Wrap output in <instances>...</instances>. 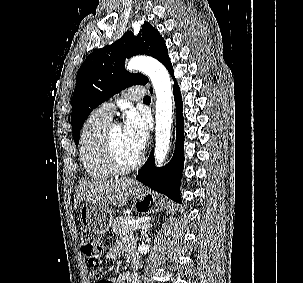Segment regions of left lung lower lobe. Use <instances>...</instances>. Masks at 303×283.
<instances>
[{"label":"left lung lower lobe","instance_id":"left-lung-lower-lobe-1","mask_svg":"<svg viewBox=\"0 0 303 283\" xmlns=\"http://www.w3.org/2000/svg\"><path fill=\"white\" fill-rule=\"evenodd\" d=\"M174 80L173 93L176 104V144L175 151L171 161L162 168L155 167L154 153L151 152L148 160L139 170L136 179L151 189L165 194L170 199L181 202L180 199V182L182 177L184 163V136L182 115V98L178 84L174 77V71L171 62L166 66Z\"/></svg>","mask_w":303,"mask_h":283}]
</instances>
